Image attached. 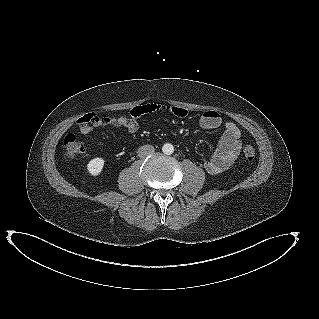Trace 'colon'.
Segmentation results:
<instances>
[{
    "mask_svg": "<svg viewBox=\"0 0 319 319\" xmlns=\"http://www.w3.org/2000/svg\"><path fill=\"white\" fill-rule=\"evenodd\" d=\"M94 114H86L78 119L77 124L83 125L93 120ZM64 154L67 158L73 159L85 151L84 143L74 134H68L63 139ZM242 153L247 159H253L256 154L255 148L249 143H243Z\"/></svg>",
    "mask_w": 319,
    "mask_h": 319,
    "instance_id": "obj_1",
    "label": "colon"
}]
</instances>
